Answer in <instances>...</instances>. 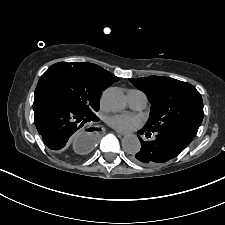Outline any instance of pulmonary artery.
Wrapping results in <instances>:
<instances>
[{
  "mask_svg": "<svg viewBox=\"0 0 225 225\" xmlns=\"http://www.w3.org/2000/svg\"><path fill=\"white\" fill-rule=\"evenodd\" d=\"M129 106L134 110H142L147 106L148 98L142 91L132 89L127 92Z\"/></svg>",
  "mask_w": 225,
  "mask_h": 225,
  "instance_id": "e3ab8cb5",
  "label": "pulmonary artery"
}]
</instances>
